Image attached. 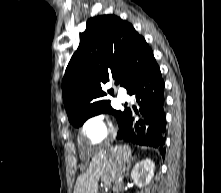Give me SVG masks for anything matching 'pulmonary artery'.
Returning <instances> with one entry per match:
<instances>
[{
	"label": "pulmonary artery",
	"instance_id": "pulmonary-artery-1",
	"mask_svg": "<svg viewBox=\"0 0 221 193\" xmlns=\"http://www.w3.org/2000/svg\"><path fill=\"white\" fill-rule=\"evenodd\" d=\"M117 97L120 101H128L129 100V96L127 95V93H125L124 91H118L117 93Z\"/></svg>",
	"mask_w": 221,
	"mask_h": 193
}]
</instances>
